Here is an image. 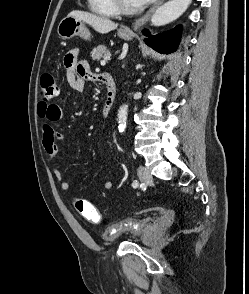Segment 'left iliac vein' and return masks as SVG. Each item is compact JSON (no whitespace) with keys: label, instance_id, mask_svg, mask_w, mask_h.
I'll list each match as a JSON object with an SVG mask.
<instances>
[{"label":"left iliac vein","instance_id":"1","mask_svg":"<svg viewBox=\"0 0 249 294\" xmlns=\"http://www.w3.org/2000/svg\"><path fill=\"white\" fill-rule=\"evenodd\" d=\"M137 172H138L139 179L142 182L149 183L152 181V176L146 167L139 166Z\"/></svg>","mask_w":249,"mask_h":294}]
</instances>
